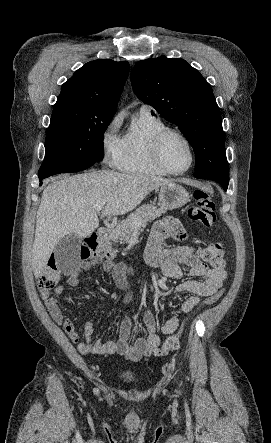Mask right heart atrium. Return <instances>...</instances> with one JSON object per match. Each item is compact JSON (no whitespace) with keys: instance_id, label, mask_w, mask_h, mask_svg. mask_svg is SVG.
<instances>
[{"instance_id":"obj_1","label":"right heart atrium","mask_w":271,"mask_h":443,"mask_svg":"<svg viewBox=\"0 0 271 443\" xmlns=\"http://www.w3.org/2000/svg\"><path fill=\"white\" fill-rule=\"evenodd\" d=\"M123 123V113L117 112L106 124L101 135L104 158L110 165H116L122 151V139L119 130Z\"/></svg>"}]
</instances>
